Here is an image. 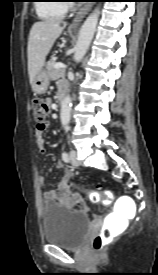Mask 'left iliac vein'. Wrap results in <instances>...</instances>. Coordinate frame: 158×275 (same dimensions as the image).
<instances>
[{"label":"left iliac vein","mask_w":158,"mask_h":275,"mask_svg":"<svg viewBox=\"0 0 158 275\" xmlns=\"http://www.w3.org/2000/svg\"><path fill=\"white\" fill-rule=\"evenodd\" d=\"M70 162L74 166H79L80 165L79 161L77 160L76 151H74V150L70 151Z\"/></svg>","instance_id":"4c4485c4"}]
</instances>
